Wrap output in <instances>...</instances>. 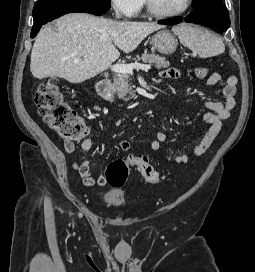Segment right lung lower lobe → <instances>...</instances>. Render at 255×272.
<instances>
[{"instance_id":"obj_1","label":"right lung lower lobe","mask_w":255,"mask_h":272,"mask_svg":"<svg viewBox=\"0 0 255 272\" xmlns=\"http://www.w3.org/2000/svg\"><path fill=\"white\" fill-rule=\"evenodd\" d=\"M85 12L100 16L104 13L90 6L74 1H42L37 2L33 9L34 24L31 37L34 38L43 24L50 22L64 14Z\"/></svg>"}]
</instances>
